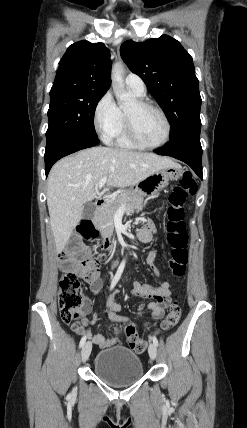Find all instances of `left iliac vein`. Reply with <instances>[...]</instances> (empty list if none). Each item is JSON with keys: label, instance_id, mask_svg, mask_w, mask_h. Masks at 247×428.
<instances>
[{"label": "left iliac vein", "instance_id": "4c4485c4", "mask_svg": "<svg viewBox=\"0 0 247 428\" xmlns=\"http://www.w3.org/2000/svg\"><path fill=\"white\" fill-rule=\"evenodd\" d=\"M149 356L151 359H155L157 356V347L154 343H151L148 348Z\"/></svg>", "mask_w": 247, "mask_h": 428}]
</instances>
